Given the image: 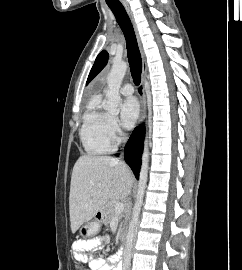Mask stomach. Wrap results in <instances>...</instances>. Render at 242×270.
<instances>
[{
    "label": "stomach",
    "instance_id": "obj_1",
    "mask_svg": "<svg viewBox=\"0 0 242 270\" xmlns=\"http://www.w3.org/2000/svg\"><path fill=\"white\" fill-rule=\"evenodd\" d=\"M102 213H104V212H102ZM102 219H103V217L101 219H96L95 221L88 222V223L84 224L79 229L80 235L83 237H90V236L95 235L99 230V226H100V223L102 222Z\"/></svg>",
    "mask_w": 242,
    "mask_h": 270
}]
</instances>
